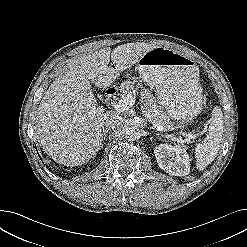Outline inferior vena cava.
I'll list each match as a JSON object with an SVG mask.
<instances>
[{
	"label": "inferior vena cava",
	"mask_w": 247,
	"mask_h": 247,
	"mask_svg": "<svg viewBox=\"0 0 247 247\" xmlns=\"http://www.w3.org/2000/svg\"><path fill=\"white\" fill-rule=\"evenodd\" d=\"M104 120L106 127L114 129L122 123L123 118L119 116V114L111 111L104 116Z\"/></svg>",
	"instance_id": "602c4592"
}]
</instances>
